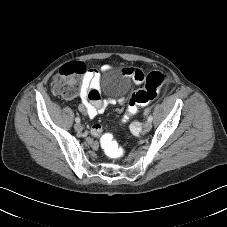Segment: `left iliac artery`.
I'll return each instance as SVG.
<instances>
[{"label":"left iliac artery","mask_w":227,"mask_h":227,"mask_svg":"<svg viewBox=\"0 0 227 227\" xmlns=\"http://www.w3.org/2000/svg\"><path fill=\"white\" fill-rule=\"evenodd\" d=\"M152 120H153L152 115H149V117H148V121H149V122H152Z\"/></svg>","instance_id":"left-iliac-artery-1"}]
</instances>
